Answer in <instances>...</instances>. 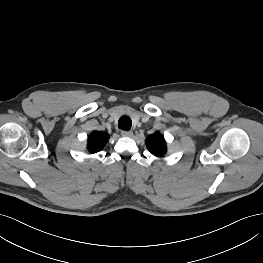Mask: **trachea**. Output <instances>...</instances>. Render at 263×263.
Wrapping results in <instances>:
<instances>
[{
	"label": "trachea",
	"mask_w": 263,
	"mask_h": 263,
	"mask_svg": "<svg viewBox=\"0 0 263 263\" xmlns=\"http://www.w3.org/2000/svg\"><path fill=\"white\" fill-rule=\"evenodd\" d=\"M132 126V120L128 116H122L119 119L118 127L122 130H130Z\"/></svg>",
	"instance_id": "3493384b"
}]
</instances>
